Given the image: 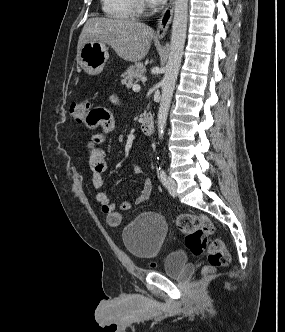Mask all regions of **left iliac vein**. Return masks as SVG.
I'll return each mask as SVG.
<instances>
[{
	"label": "left iliac vein",
	"instance_id": "left-iliac-vein-1",
	"mask_svg": "<svg viewBox=\"0 0 285 332\" xmlns=\"http://www.w3.org/2000/svg\"><path fill=\"white\" fill-rule=\"evenodd\" d=\"M167 189L170 195L176 196L177 195V184L175 180L171 177H168L167 179Z\"/></svg>",
	"mask_w": 285,
	"mask_h": 332
}]
</instances>
